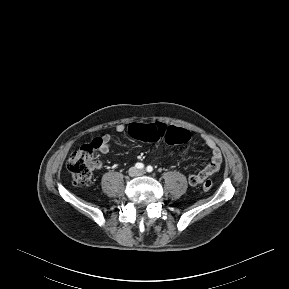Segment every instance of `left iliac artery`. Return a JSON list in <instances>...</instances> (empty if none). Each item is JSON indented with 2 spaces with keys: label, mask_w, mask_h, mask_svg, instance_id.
Masks as SVG:
<instances>
[{
  "label": "left iliac artery",
  "mask_w": 289,
  "mask_h": 289,
  "mask_svg": "<svg viewBox=\"0 0 289 289\" xmlns=\"http://www.w3.org/2000/svg\"><path fill=\"white\" fill-rule=\"evenodd\" d=\"M146 171L149 172V173L152 172L153 171V167L150 166V165L147 166Z\"/></svg>",
  "instance_id": "44dca946"
}]
</instances>
